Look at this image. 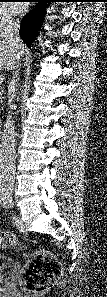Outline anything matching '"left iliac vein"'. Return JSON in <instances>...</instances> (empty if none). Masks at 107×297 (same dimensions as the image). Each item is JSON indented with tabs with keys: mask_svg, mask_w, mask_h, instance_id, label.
<instances>
[{
	"mask_svg": "<svg viewBox=\"0 0 107 297\" xmlns=\"http://www.w3.org/2000/svg\"><path fill=\"white\" fill-rule=\"evenodd\" d=\"M5 206L6 207H11L12 206V198L11 197L7 198Z\"/></svg>",
	"mask_w": 107,
	"mask_h": 297,
	"instance_id": "4c4485c4",
	"label": "left iliac vein"
}]
</instances>
